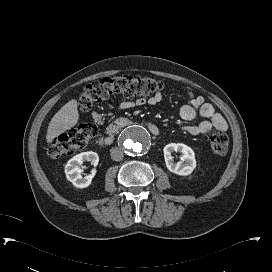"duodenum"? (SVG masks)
Returning a JSON list of instances; mask_svg holds the SVG:
<instances>
[{
	"label": "duodenum",
	"instance_id": "obj_1",
	"mask_svg": "<svg viewBox=\"0 0 272 272\" xmlns=\"http://www.w3.org/2000/svg\"><path fill=\"white\" fill-rule=\"evenodd\" d=\"M130 124H131L130 121L125 120L120 123L119 127L125 128V127H128ZM146 126L153 136L159 135V128L155 124L150 123V122H146ZM115 138H116V134L113 132V133H110V134L102 137L100 139L99 143L101 146H109L114 142Z\"/></svg>",
	"mask_w": 272,
	"mask_h": 272
}]
</instances>
